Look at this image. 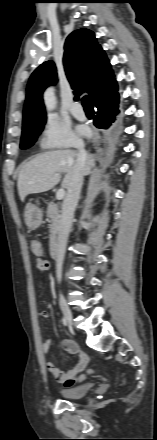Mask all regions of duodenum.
<instances>
[{
  "label": "duodenum",
  "instance_id": "1",
  "mask_svg": "<svg viewBox=\"0 0 157 440\" xmlns=\"http://www.w3.org/2000/svg\"><path fill=\"white\" fill-rule=\"evenodd\" d=\"M50 255L54 260L59 258V248L55 240H53L50 244Z\"/></svg>",
  "mask_w": 157,
  "mask_h": 440
}]
</instances>
